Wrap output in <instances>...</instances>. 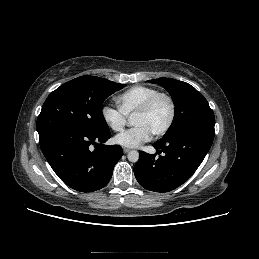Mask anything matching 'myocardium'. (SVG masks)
I'll return each mask as SVG.
<instances>
[{
	"label": "myocardium",
	"instance_id": "1",
	"mask_svg": "<svg viewBox=\"0 0 259 259\" xmlns=\"http://www.w3.org/2000/svg\"><path fill=\"white\" fill-rule=\"evenodd\" d=\"M160 98H164L168 101V103L170 105V116H169V119H168L167 123L165 124V126L153 134L156 137H160V136H163L164 134H166L174 123V120L176 117V104H175L173 97L170 94L165 93V92H157L156 94L149 97L141 105V107L134 113V116L135 115H145L146 113H148L150 111V109L155 104V102Z\"/></svg>",
	"mask_w": 259,
	"mask_h": 259
}]
</instances>
